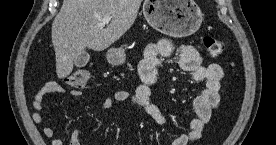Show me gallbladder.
I'll return each mask as SVG.
<instances>
[{
  "label": "gallbladder",
  "instance_id": "1",
  "mask_svg": "<svg viewBox=\"0 0 276 145\" xmlns=\"http://www.w3.org/2000/svg\"><path fill=\"white\" fill-rule=\"evenodd\" d=\"M89 59H90L89 53L83 50L78 54L74 64L76 67L82 68L87 65V63L89 62Z\"/></svg>",
  "mask_w": 276,
  "mask_h": 145
}]
</instances>
